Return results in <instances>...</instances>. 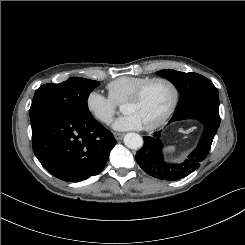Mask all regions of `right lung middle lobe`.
<instances>
[{
  "label": "right lung middle lobe",
  "instance_id": "dd1d6c3e",
  "mask_svg": "<svg viewBox=\"0 0 245 245\" xmlns=\"http://www.w3.org/2000/svg\"><path fill=\"white\" fill-rule=\"evenodd\" d=\"M99 86L95 80L72 77L67 81L42 85L36 90L29 110L30 120L45 113L66 118L91 117L87 100L90 92Z\"/></svg>",
  "mask_w": 245,
  "mask_h": 245
}]
</instances>
